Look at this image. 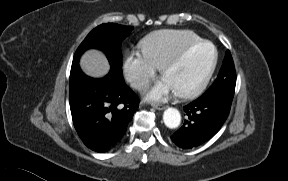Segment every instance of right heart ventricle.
<instances>
[{
    "mask_svg": "<svg viewBox=\"0 0 288 181\" xmlns=\"http://www.w3.org/2000/svg\"><path fill=\"white\" fill-rule=\"evenodd\" d=\"M202 38L191 30H162L148 36L141 44L144 55L160 69L181 49Z\"/></svg>",
    "mask_w": 288,
    "mask_h": 181,
    "instance_id": "1",
    "label": "right heart ventricle"
}]
</instances>
